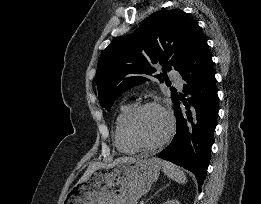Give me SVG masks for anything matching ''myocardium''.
<instances>
[{
  "instance_id": "obj_1",
  "label": "myocardium",
  "mask_w": 261,
  "mask_h": 204,
  "mask_svg": "<svg viewBox=\"0 0 261 204\" xmlns=\"http://www.w3.org/2000/svg\"><path fill=\"white\" fill-rule=\"evenodd\" d=\"M147 108H156L160 110L167 121V128L162 136L161 139L158 141L152 143V144H143L138 142L131 134L130 132V124L133 120V118L142 110L147 109ZM174 131V118L171 113V111L162 103L158 101H145L142 103H139L135 106H133L126 116L124 117V120L122 122V134L125 140L136 150H142V151H149V150H154L157 149L161 146H163L165 143L168 142V140L171 138L172 134Z\"/></svg>"
}]
</instances>
